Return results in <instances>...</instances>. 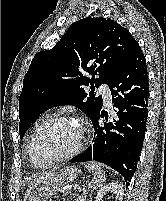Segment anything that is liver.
<instances>
[{
  "label": "liver",
  "instance_id": "liver-1",
  "mask_svg": "<svg viewBox=\"0 0 166 201\" xmlns=\"http://www.w3.org/2000/svg\"><path fill=\"white\" fill-rule=\"evenodd\" d=\"M54 173H55V171L52 170L49 172H45L39 176H36L34 178V180L31 182L29 188L27 189L26 197L30 196V194L34 188H36L38 185L44 183Z\"/></svg>",
  "mask_w": 166,
  "mask_h": 201
}]
</instances>
